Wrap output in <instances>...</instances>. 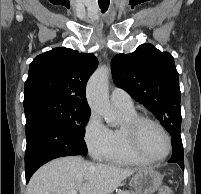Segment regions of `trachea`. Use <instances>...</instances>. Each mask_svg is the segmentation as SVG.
<instances>
[{
    "label": "trachea",
    "instance_id": "3493384b",
    "mask_svg": "<svg viewBox=\"0 0 201 194\" xmlns=\"http://www.w3.org/2000/svg\"><path fill=\"white\" fill-rule=\"evenodd\" d=\"M98 3H99V7L102 10V12H106L109 7V2L108 3L98 2Z\"/></svg>",
    "mask_w": 201,
    "mask_h": 194
}]
</instances>
